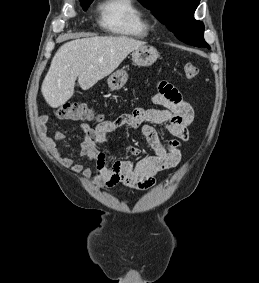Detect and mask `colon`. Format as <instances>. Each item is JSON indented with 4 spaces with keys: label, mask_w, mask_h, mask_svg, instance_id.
Here are the masks:
<instances>
[{
    "label": "colon",
    "mask_w": 259,
    "mask_h": 283,
    "mask_svg": "<svg viewBox=\"0 0 259 283\" xmlns=\"http://www.w3.org/2000/svg\"><path fill=\"white\" fill-rule=\"evenodd\" d=\"M183 71L188 79H194L198 76L199 69L195 64H184ZM56 116L62 120H90L99 121L93 110L84 103H66L60 106L56 111Z\"/></svg>",
    "instance_id": "obj_1"
}]
</instances>
